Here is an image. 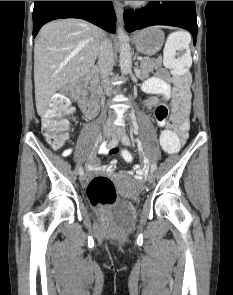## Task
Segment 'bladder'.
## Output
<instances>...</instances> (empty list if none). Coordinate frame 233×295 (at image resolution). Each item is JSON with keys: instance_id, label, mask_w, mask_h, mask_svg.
Returning <instances> with one entry per match:
<instances>
[{"instance_id": "bladder-1", "label": "bladder", "mask_w": 233, "mask_h": 295, "mask_svg": "<svg viewBox=\"0 0 233 295\" xmlns=\"http://www.w3.org/2000/svg\"><path fill=\"white\" fill-rule=\"evenodd\" d=\"M127 210H130L131 209V207L129 206V205H126V207H125Z\"/></svg>"}]
</instances>
